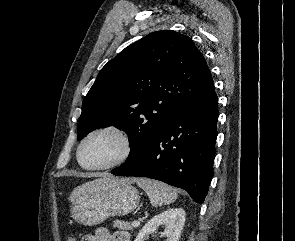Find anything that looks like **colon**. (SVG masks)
<instances>
[{"label":"colon","mask_w":295,"mask_h":241,"mask_svg":"<svg viewBox=\"0 0 295 241\" xmlns=\"http://www.w3.org/2000/svg\"><path fill=\"white\" fill-rule=\"evenodd\" d=\"M67 241H75V239H73V238H69Z\"/></svg>","instance_id":"5ec220e1"}]
</instances>
